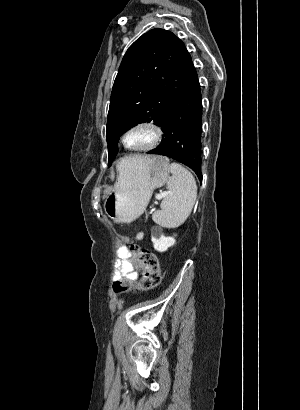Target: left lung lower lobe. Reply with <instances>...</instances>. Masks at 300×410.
Masks as SVG:
<instances>
[{
  "label": "left lung lower lobe",
  "instance_id": "1",
  "mask_svg": "<svg viewBox=\"0 0 300 410\" xmlns=\"http://www.w3.org/2000/svg\"><path fill=\"white\" fill-rule=\"evenodd\" d=\"M160 127L165 137L148 153L167 156L187 165L201 181L202 99L195 68Z\"/></svg>",
  "mask_w": 300,
  "mask_h": 410
}]
</instances>
